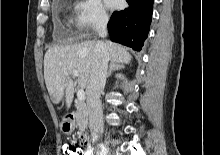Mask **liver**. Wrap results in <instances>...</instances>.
Masks as SVG:
<instances>
[{
  "label": "liver",
  "mask_w": 220,
  "mask_h": 155,
  "mask_svg": "<svg viewBox=\"0 0 220 155\" xmlns=\"http://www.w3.org/2000/svg\"><path fill=\"white\" fill-rule=\"evenodd\" d=\"M99 42L84 41L79 44L55 46L44 56V79L48 93L55 104L65 97L67 109L74 97V84L71 70L79 73L77 83L83 89L87 88L92 63L95 58V46ZM106 45L111 62L128 64L131 55L127 49L111 41L102 42Z\"/></svg>",
  "instance_id": "obj_1"
}]
</instances>
